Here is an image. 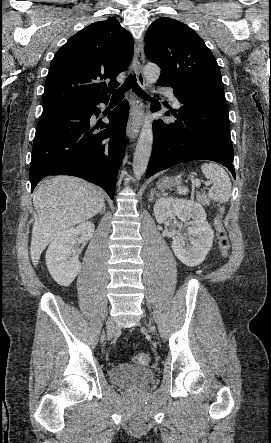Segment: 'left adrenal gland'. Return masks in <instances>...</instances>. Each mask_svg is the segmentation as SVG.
<instances>
[{
    "label": "left adrenal gland",
    "instance_id": "a2214340",
    "mask_svg": "<svg viewBox=\"0 0 271 443\" xmlns=\"http://www.w3.org/2000/svg\"><path fill=\"white\" fill-rule=\"evenodd\" d=\"M155 194H156V196H159V194H158V192H156V190H151V196L149 198L150 202H153V198H154Z\"/></svg>",
    "mask_w": 271,
    "mask_h": 443
}]
</instances>
